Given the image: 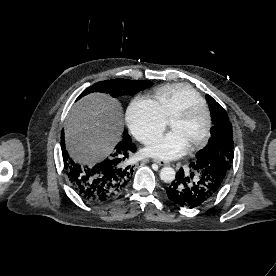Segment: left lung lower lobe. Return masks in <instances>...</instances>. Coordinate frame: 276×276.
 <instances>
[{"instance_id":"1","label":"left lung lower lobe","mask_w":276,"mask_h":276,"mask_svg":"<svg viewBox=\"0 0 276 276\" xmlns=\"http://www.w3.org/2000/svg\"><path fill=\"white\" fill-rule=\"evenodd\" d=\"M201 163L192 162L188 173L181 168L176 179L166 188L168 198L184 208H195L210 201L217 195L223 182L221 176L210 172Z\"/></svg>"}]
</instances>
